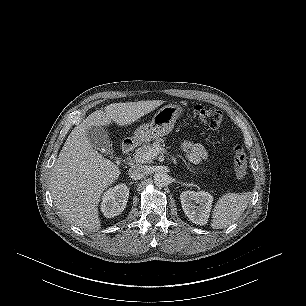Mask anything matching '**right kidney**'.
<instances>
[{"mask_svg": "<svg viewBox=\"0 0 306 306\" xmlns=\"http://www.w3.org/2000/svg\"><path fill=\"white\" fill-rule=\"evenodd\" d=\"M129 188L126 184H118L109 188L102 197L101 211L107 218L119 215L126 207Z\"/></svg>", "mask_w": 306, "mask_h": 306, "instance_id": "obj_1", "label": "right kidney"}]
</instances>
